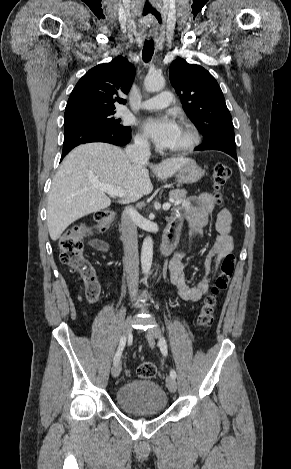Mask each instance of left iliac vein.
Returning a JSON list of instances; mask_svg holds the SVG:
<instances>
[{"mask_svg": "<svg viewBox=\"0 0 291 469\" xmlns=\"http://www.w3.org/2000/svg\"><path fill=\"white\" fill-rule=\"evenodd\" d=\"M147 336L149 339L160 338V329L158 327H152L147 330ZM166 385L170 392L174 393L177 390V382L175 378L171 376L166 378Z\"/></svg>", "mask_w": 291, "mask_h": 469, "instance_id": "4c4485c4", "label": "left iliac vein"}]
</instances>
